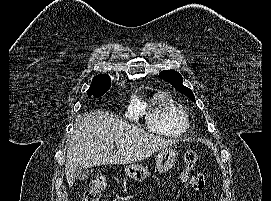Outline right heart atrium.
Returning a JSON list of instances; mask_svg holds the SVG:
<instances>
[{
	"mask_svg": "<svg viewBox=\"0 0 271 201\" xmlns=\"http://www.w3.org/2000/svg\"><path fill=\"white\" fill-rule=\"evenodd\" d=\"M139 106L137 103H132L128 109L127 117L135 119L139 116Z\"/></svg>",
	"mask_w": 271,
	"mask_h": 201,
	"instance_id": "d8ad5b80",
	"label": "right heart atrium"
}]
</instances>
